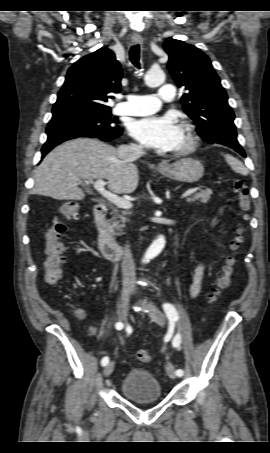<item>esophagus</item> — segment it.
I'll list each match as a JSON object with an SVG mask.
<instances>
[{
  "instance_id": "esophagus-1",
  "label": "esophagus",
  "mask_w": 270,
  "mask_h": 453,
  "mask_svg": "<svg viewBox=\"0 0 270 453\" xmlns=\"http://www.w3.org/2000/svg\"><path fill=\"white\" fill-rule=\"evenodd\" d=\"M132 41L135 43V44H141L143 42V39L141 37H134L132 39ZM158 166L161 168V167H166L167 166V163L166 162H159L158 163Z\"/></svg>"
}]
</instances>
